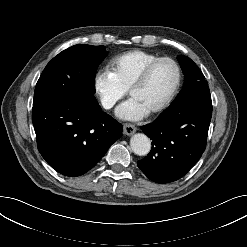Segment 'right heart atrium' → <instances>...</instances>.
<instances>
[{"label":"right heart atrium","instance_id":"d8ad5b80","mask_svg":"<svg viewBox=\"0 0 247 247\" xmlns=\"http://www.w3.org/2000/svg\"><path fill=\"white\" fill-rule=\"evenodd\" d=\"M93 92L101 107L110 110L126 95L127 91L107 70L101 69L93 77Z\"/></svg>","mask_w":247,"mask_h":247}]
</instances>
